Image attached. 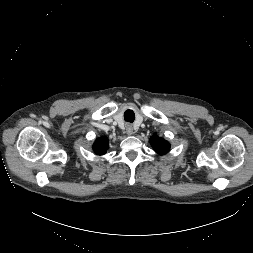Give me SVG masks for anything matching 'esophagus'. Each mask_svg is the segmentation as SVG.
Masks as SVG:
<instances>
[{"label":"esophagus","instance_id":"1","mask_svg":"<svg viewBox=\"0 0 253 253\" xmlns=\"http://www.w3.org/2000/svg\"><path fill=\"white\" fill-rule=\"evenodd\" d=\"M126 133L128 135H132L134 133L132 125H130V124L126 125Z\"/></svg>","mask_w":253,"mask_h":253}]
</instances>
